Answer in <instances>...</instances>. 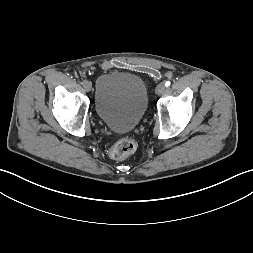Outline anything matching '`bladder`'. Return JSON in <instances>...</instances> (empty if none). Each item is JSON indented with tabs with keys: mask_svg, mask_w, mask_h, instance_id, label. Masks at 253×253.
I'll use <instances>...</instances> for the list:
<instances>
[{
	"mask_svg": "<svg viewBox=\"0 0 253 253\" xmlns=\"http://www.w3.org/2000/svg\"><path fill=\"white\" fill-rule=\"evenodd\" d=\"M95 109L109 128L127 132L134 129L148 109V91L144 80L133 73L102 74L95 87Z\"/></svg>",
	"mask_w": 253,
	"mask_h": 253,
	"instance_id": "31cf9c89",
	"label": "bladder"
}]
</instances>
